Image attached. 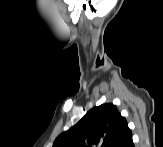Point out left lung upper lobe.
I'll use <instances>...</instances> for the list:
<instances>
[{"mask_svg":"<svg viewBox=\"0 0 163 147\" xmlns=\"http://www.w3.org/2000/svg\"><path fill=\"white\" fill-rule=\"evenodd\" d=\"M127 126L115 105L102 104L58 136L53 147H114Z\"/></svg>","mask_w":163,"mask_h":147,"instance_id":"5c2ea615","label":"left lung upper lobe"}]
</instances>
